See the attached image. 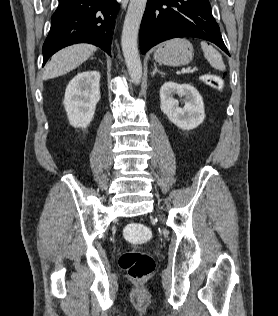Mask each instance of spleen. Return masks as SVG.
Listing matches in <instances>:
<instances>
[{
  "label": "spleen",
  "instance_id": "1",
  "mask_svg": "<svg viewBox=\"0 0 278 316\" xmlns=\"http://www.w3.org/2000/svg\"><path fill=\"white\" fill-rule=\"evenodd\" d=\"M201 48L205 58L209 61L212 67L221 71L225 70L222 56L214 47L208 45L206 42H201Z\"/></svg>",
  "mask_w": 278,
  "mask_h": 316
}]
</instances>
